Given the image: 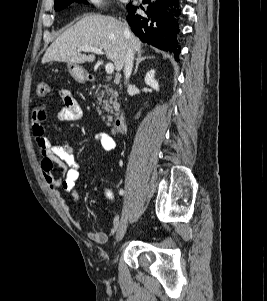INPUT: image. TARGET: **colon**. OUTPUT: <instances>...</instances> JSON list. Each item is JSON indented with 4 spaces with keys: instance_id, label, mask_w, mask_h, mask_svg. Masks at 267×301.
Instances as JSON below:
<instances>
[{
    "instance_id": "1",
    "label": "colon",
    "mask_w": 267,
    "mask_h": 301,
    "mask_svg": "<svg viewBox=\"0 0 267 301\" xmlns=\"http://www.w3.org/2000/svg\"><path fill=\"white\" fill-rule=\"evenodd\" d=\"M50 93V87L46 82H40L36 87V94L40 98H44L48 96ZM102 196L107 204L111 207L116 206V196L113 190L110 187H103L102 188Z\"/></svg>"
}]
</instances>
